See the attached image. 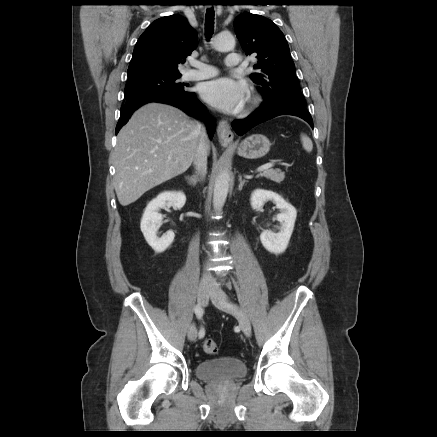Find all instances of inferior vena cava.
Returning a JSON list of instances; mask_svg holds the SVG:
<instances>
[{
    "label": "inferior vena cava",
    "mask_w": 437,
    "mask_h": 437,
    "mask_svg": "<svg viewBox=\"0 0 437 437\" xmlns=\"http://www.w3.org/2000/svg\"><path fill=\"white\" fill-rule=\"evenodd\" d=\"M199 130H200V140L193 163L196 166L198 172L204 177L207 172V156L209 153V139L206 129L200 124H199ZM202 280L209 282L212 280V277L209 273H204Z\"/></svg>",
    "instance_id": "1"
}]
</instances>
